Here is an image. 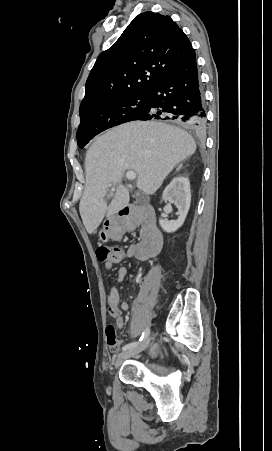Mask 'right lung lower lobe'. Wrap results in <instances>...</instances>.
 <instances>
[{"label":"right lung lower lobe","mask_w":272,"mask_h":451,"mask_svg":"<svg viewBox=\"0 0 272 451\" xmlns=\"http://www.w3.org/2000/svg\"><path fill=\"white\" fill-rule=\"evenodd\" d=\"M149 108L136 120H176L192 131L206 127L195 51L174 67L149 93Z\"/></svg>","instance_id":"right-lung-lower-lobe-1"}]
</instances>
